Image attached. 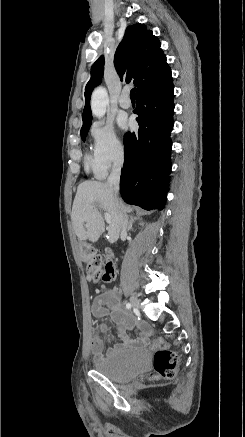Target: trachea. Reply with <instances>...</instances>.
<instances>
[{"label":"trachea","instance_id":"obj_1","mask_svg":"<svg viewBox=\"0 0 245 437\" xmlns=\"http://www.w3.org/2000/svg\"><path fill=\"white\" fill-rule=\"evenodd\" d=\"M135 97V88L131 89L130 91V98H134Z\"/></svg>","mask_w":245,"mask_h":437}]
</instances>
